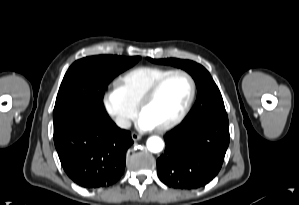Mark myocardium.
Here are the masks:
<instances>
[{
    "label": "myocardium",
    "mask_w": 299,
    "mask_h": 205,
    "mask_svg": "<svg viewBox=\"0 0 299 205\" xmlns=\"http://www.w3.org/2000/svg\"><path fill=\"white\" fill-rule=\"evenodd\" d=\"M174 75H183L185 76L189 83H190V94L188 97V100L186 102V104L184 105L183 109L181 110V112L172 120H170L169 122L162 124L160 126L156 127V130L162 132V131H167L169 129L174 128L175 126L179 125L187 116V114L189 113L195 97H196V82L193 78V76L185 71V70H181V69H177V70H172L168 73H166L165 75H163L162 77H160L159 79H157L149 88L148 90L144 93V95L142 96L137 108H138V112L141 114L143 109L148 106L151 101L154 99V97L157 95L158 91L160 90V88L162 87V85L172 76Z\"/></svg>",
    "instance_id": "f54148a6"
}]
</instances>
